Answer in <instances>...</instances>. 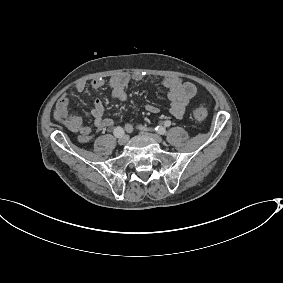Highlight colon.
Instances as JSON below:
<instances>
[{
  "mask_svg": "<svg viewBox=\"0 0 283 283\" xmlns=\"http://www.w3.org/2000/svg\"><path fill=\"white\" fill-rule=\"evenodd\" d=\"M208 114L207 107L204 105H198L193 109V117L196 120H203Z\"/></svg>",
  "mask_w": 283,
  "mask_h": 283,
  "instance_id": "1",
  "label": "colon"
}]
</instances>
